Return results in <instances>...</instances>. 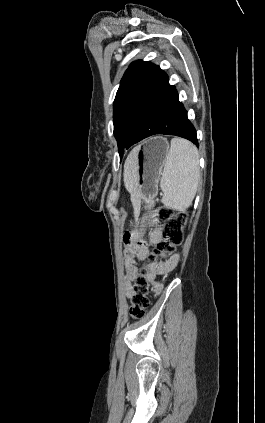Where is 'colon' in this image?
<instances>
[{"label":"colon","mask_w":265,"mask_h":423,"mask_svg":"<svg viewBox=\"0 0 265 423\" xmlns=\"http://www.w3.org/2000/svg\"><path fill=\"white\" fill-rule=\"evenodd\" d=\"M186 222V217L183 213H174L168 208H158L151 219V223L162 230V237L160 241L153 248L149 255V261L155 262L162 254L173 253L176 248L181 245L183 241V227ZM141 231L126 232L123 235V242L125 249H130L139 244L138 237ZM146 269L143 274L138 276L132 283L130 293V315L133 319H141L144 317L147 308L150 305L148 297V282L144 277Z\"/></svg>","instance_id":"colon-1"}]
</instances>
